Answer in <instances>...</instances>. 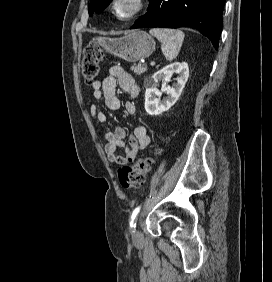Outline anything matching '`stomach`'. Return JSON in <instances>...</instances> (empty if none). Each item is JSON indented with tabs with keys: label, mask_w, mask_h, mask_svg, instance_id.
I'll list each match as a JSON object with an SVG mask.
<instances>
[{
	"label": "stomach",
	"mask_w": 272,
	"mask_h": 282,
	"mask_svg": "<svg viewBox=\"0 0 272 282\" xmlns=\"http://www.w3.org/2000/svg\"><path fill=\"white\" fill-rule=\"evenodd\" d=\"M109 53L128 62L149 57L155 50L154 39L145 31H133L119 38H99Z\"/></svg>",
	"instance_id": "stomach-1"
}]
</instances>
